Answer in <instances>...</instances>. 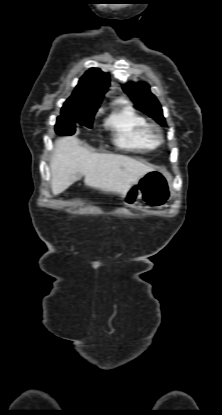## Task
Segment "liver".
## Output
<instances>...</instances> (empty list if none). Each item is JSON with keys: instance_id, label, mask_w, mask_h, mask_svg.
<instances>
[{"instance_id": "liver-1", "label": "liver", "mask_w": 222, "mask_h": 415, "mask_svg": "<svg viewBox=\"0 0 222 415\" xmlns=\"http://www.w3.org/2000/svg\"><path fill=\"white\" fill-rule=\"evenodd\" d=\"M50 169L54 195L84 176L86 186L124 196L132 184L155 167L124 155L93 153L71 136L55 141Z\"/></svg>"}]
</instances>
